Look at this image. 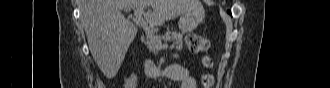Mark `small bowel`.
<instances>
[{"label":"small bowel","instance_id":"small-bowel-1","mask_svg":"<svg viewBox=\"0 0 330 88\" xmlns=\"http://www.w3.org/2000/svg\"><path fill=\"white\" fill-rule=\"evenodd\" d=\"M166 78L179 82L180 88H196V81L185 66L172 64L166 67Z\"/></svg>","mask_w":330,"mask_h":88}]
</instances>
